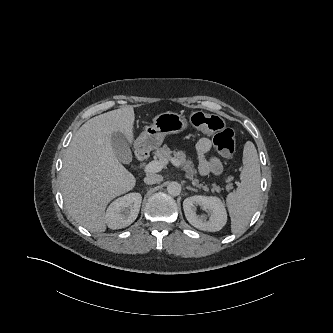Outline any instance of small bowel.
Returning a JSON list of instances; mask_svg holds the SVG:
<instances>
[{
	"label": "small bowel",
	"instance_id": "small-bowel-1",
	"mask_svg": "<svg viewBox=\"0 0 333 333\" xmlns=\"http://www.w3.org/2000/svg\"><path fill=\"white\" fill-rule=\"evenodd\" d=\"M210 149L211 141L207 137L201 138L195 147L198 160V171L202 176L209 174L220 175L222 172V164L218 158H207V154Z\"/></svg>",
	"mask_w": 333,
	"mask_h": 333
}]
</instances>
